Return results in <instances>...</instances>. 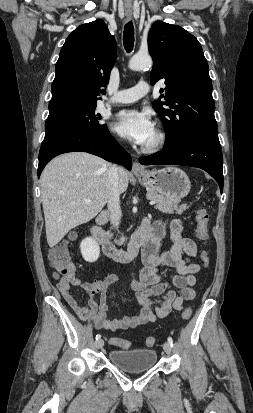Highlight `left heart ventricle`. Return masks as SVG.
Instances as JSON below:
<instances>
[{
    "instance_id": "obj_1",
    "label": "left heart ventricle",
    "mask_w": 253,
    "mask_h": 413,
    "mask_svg": "<svg viewBox=\"0 0 253 413\" xmlns=\"http://www.w3.org/2000/svg\"><path fill=\"white\" fill-rule=\"evenodd\" d=\"M155 140V132L154 134L151 136V138L146 142L145 145L152 143Z\"/></svg>"
}]
</instances>
